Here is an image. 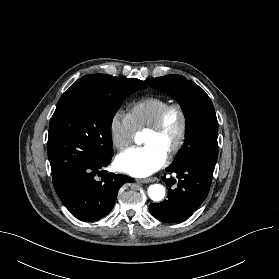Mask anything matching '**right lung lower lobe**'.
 I'll use <instances>...</instances> for the list:
<instances>
[{"mask_svg":"<svg viewBox=\"0 0 279 279\" xmlns=\"http://www.w3.org/2000/svg\"><path fill=\"white\" fill-rule=\"evenodd\" d=\"M111 158L85 163L53 181L61 202L76 218L86 222L103 218L113 208L120 187L134 181L125 175L103 170ZM96 175L101 176V180Z\"/></svg>","mask_w":279,"mask_h":279,"instance_id":"right-lung-lower-lobe-1","label":"right lung lower lobe"}]
</instances>
